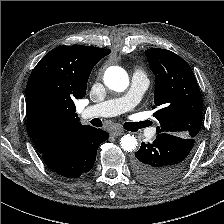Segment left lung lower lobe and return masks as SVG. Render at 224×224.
Wrapping results in <instances>:
<instances>
[{"label": "left lung lower lobe", "instance_id": "obj_1", "mask_svg": "<svg viewBox=\"0 0 224 224\" xmlns=\"http://www.w3.org/2000/svg\"><path fill=\"white\" fill-rule=\"evenodd\" d=\"M195 138L159 133L152 143H142L132 168L146 183L162 185L176 178L186 166Z\"/></svg>", "mask_w": 224, "mask_h": 224}]
</instances>
